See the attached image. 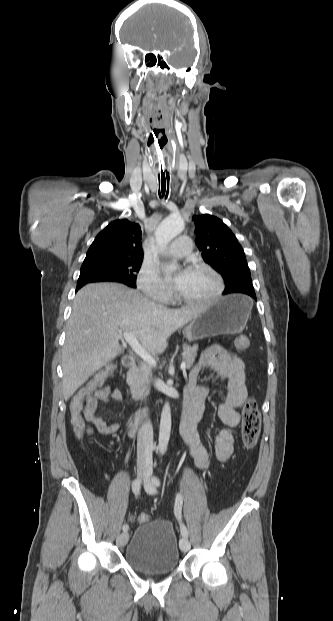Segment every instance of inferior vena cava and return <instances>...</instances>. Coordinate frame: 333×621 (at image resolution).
Wrapping results in <instances>:
<instances>
[{
    "label": "inferior vena cava",
    "mask_w": 333,
    "mask_h": 621,
    "mask_svg": "<svg viewBox=\"0 0 333 621\" xmlns=\"http://www.w3.org/2000/svg\"><path fill=\"white\" fill-rule=\"evenodd\" d=\"M153 427L150 421L141 425L137 436V462L153 464Z\"/></svg>",
    "instance_id": "inferior-vena-cava-1"
}]
</instances>
